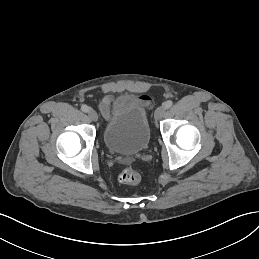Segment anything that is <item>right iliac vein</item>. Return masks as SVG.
I'll use <instances>...</instances> for the list:
<instances>
[{
	"mask_svg": "<svg viewBox=\"0 0 259 259\" xmlns=\"http://www.w3.org/2000/svg\"><path fill=\"white\" fill-rule=\"evenodd\" d=\"M88 116L94 122H96L98 120V115L93 109H89Z\"/></svg>",
	"mask_w": 259,
	"mask_h": 259,
	"instance_id": "63e3f726",
	"label": "right iliac vein"
}]
</instances>
